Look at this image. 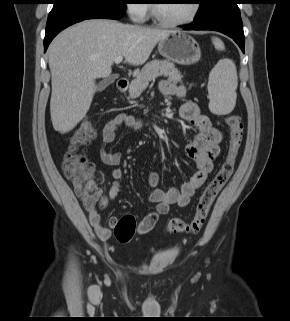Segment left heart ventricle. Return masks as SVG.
I'll list each match as a JSON object with an SVG mask.
<instances>
[{"mask_svg":"<svg viewBox=\"0 0 290 321\" xmlns=\"http://www.w3.org/2000/svg\"><path fill=\"white\" fill-rule=\"evenodd\" d=\"M160 15L167 20H182L193 10L192 0H160L158 1Z\"/></svg>","mask_w":290,"mask_h":321,"instance_id":"obj_1","label":"left heart ventricle"}]
</instances>
